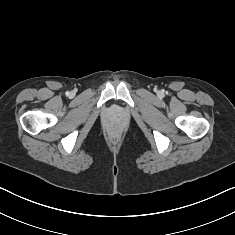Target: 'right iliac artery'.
I'll use <instances>...</instances> for the list:
<instances>
[{"mask_svg":"<svg viewBox=\"0 0 235 235\" xmlns=\"http://www.w3.org/2000/svg\"><path fill=\"white\" fill-rule=\"evenodd\" d=\"M66 95H67V96L69 95V92H68V91L66 92Z\"/></svg>","mask_w":235,"mask_h":235,"instance_id":"right-iliac-artery-1","label":"right iliac artery"}]
</instances>
